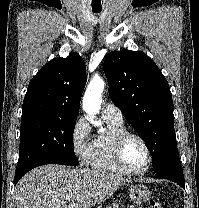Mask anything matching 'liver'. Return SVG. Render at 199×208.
<instances>
[{"label": "liver", "instance_id": "1", "mask_svg": "<svg viewBox=\"0 0 199 208\" xmlns=\"http://www.w3.org/2000/svg\"><path fill=\"white\" fill-rule=\"evenodd\" d=\"M128 183L129 179L106 171L43 165L31 170L19 181L15 188L16 206L91 208Z\"/></svg>", "mask_w": 199, "mask_h": 208}]
</instances>
